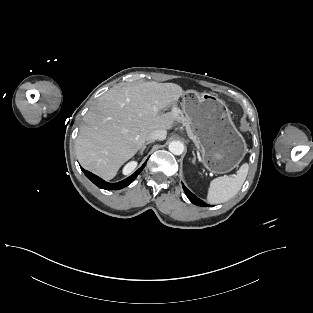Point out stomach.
Masks as SVG:
<instances>
[{
    "instance_id": "0dacf381",
    "label": "stomach",
    "mask_w": 313,
    "mask_h": 313,
    "mask_svg": "<svg viewBox=\"0 0 313 313\" xmlns=\"http://www.w3.org/2000/svg\"><path fill=\"white\" fill-rule=\"evenodd\" d=\"M181 108L201 148L206 169L224 174L237 167L247 145L225 102L210 93L188 90L182 95Z\"/></svg>"
}]
</instances>
